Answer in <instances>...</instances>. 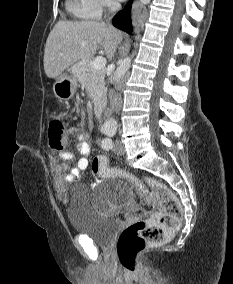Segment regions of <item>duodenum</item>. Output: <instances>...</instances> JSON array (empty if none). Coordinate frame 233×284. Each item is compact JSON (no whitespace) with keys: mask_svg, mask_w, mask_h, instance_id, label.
Listing matches in <instances>:
<instances>
[{"mask_svg":"<svg viewBox=\"0 0 233 284\" xmlns=\"http://www.w3.org/2000/svg\"><path fill=\"white\" fill-rule=\"evenodd\" d=\"M103 112H104V105L103 104L95 105V107H94V114H95V116H96V118L98 120L102 119Z\"/></svg>","mask_w":233,"mask_h":284,"instance_id":"1","label":"duodenum"}]
</instances>
